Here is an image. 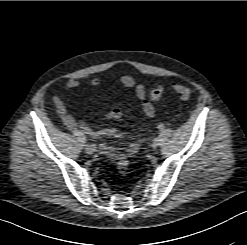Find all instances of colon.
<instances>
[{"label": "colon", "mask_w": 247, "mask_h": 245, "mask_svg": "<svg viewBox=\"0 0 247 245\" xmlns=\"http://www.w3.org/2000/svg\"><path fill=\"white\" fill-rule=\"evenodd\" d=\"M173 90L182 98V99H188L192 91L189 87L180 85V84H173L172 85ZM161 90L160 89H154L150 92V100L152 102L158 101L161 97ZM117 169L121 176L125 177L128 174L129 169V157L125 154H121L117 161Z\"/></svg>", "instance_id": "colon-1"}]
</instances>
